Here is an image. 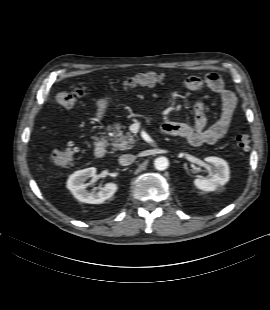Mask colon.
<instances>
[{
	"mask_svg": "<svg viewBox=\"0 0 270 310\" xmlns=\"http://www.w3.org/2000/svg\"><path fill=\"white\" fill-rule=\"evenodd\" d=\"M165 81V75L156 74L153 72L140 73L133 77L127 78L121 82L124 88H134L139 86H152L156 84H161ZM83 91H62L56 95L57 103L66 109L73 108L76 106L83 98ZM236 145L241 150H248L251 143V138L248 134H239L235 138ZM79 149L73 142H69L64 148L56 149L52 152V161L59 166H64L72 162Z\"/></svg>",
	"mask_w": 270,
	"mask_h": 310,
	"instance_id": "1",
	"label": "colon"
}]
</instances>
